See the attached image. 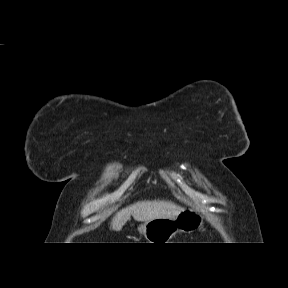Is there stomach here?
I'll list each match as a JSON object with an SVG mask.
<instances>
[{
	"label": "stomach",
	"mask_w": 288,
	"mask_h": 288,
	"mask_svg": "<svg viewBox=\"0 0 288 288\" xmlns=\"http://www.w3.org/2000/svg\"><path fill=\"white\" fill-rule=\"evenodd\" d=\"M203 225V215L196 209H184L174 218L161 217L144 222L138 227L148 243H169L179 231L193 232Z\"/></svg>",
	"instance_id": "stomach-1"
}]
</instances>
